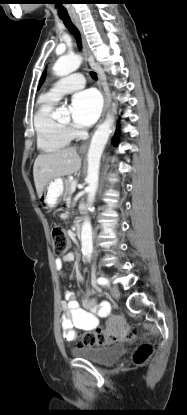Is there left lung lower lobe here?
Returning a JSON list of instances; mask_svg holds the SVG:
<instances>
[{
  "label": "left lung lower lobe",
  "instance_id": "obj_1",
  "mask_svg": "<svg viewBox=\"0 0 187 415\" xmlns=\"http://www.w3.org/2000/svg\"><path fill=\"white\" fill-rule=\"evenodd\" d=\"M119 132H120V129H119V125H118L117 126V130H116V134H115V136L113 138V141H112V143L114 144V146H117L118 138H119Z\"/></svg>",
  "mask_w": 187,
  "mask_h": 415
}]
</instances>
